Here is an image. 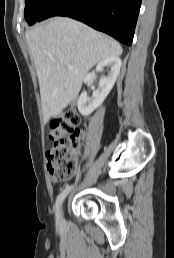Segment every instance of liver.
<instances>
[{
	"mask_svg": "<svg viewBox=\"0 0 174 258\" xmlns=\"http://www.w3.org/2000/svg\"><path fill=\"white\" fill-rule=\"evenodd\" d=\"M25 36L36 66L45 122L76 98L95 64L122 54L114 39L67 17H54Z\"/></svg>",
	"mask_w": 174,
	"mask_h": 258,
	"instance_id": "6515ba94",
	"label": "liver"
}]
</instances>
